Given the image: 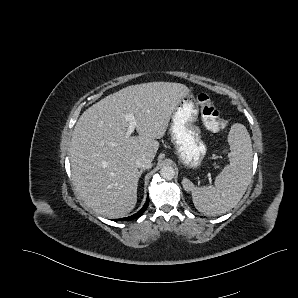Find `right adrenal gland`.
I'll return each instance as SVG.
<instances>
[{
  "label": "right adrenal gland",
  "instance_id": "obj_1",
  "mask_svg": "<svg viewBox=\"0 0 298 298\" xmlns=\"http://www.w3.org/2000/svg\"><path fill=\"white\" fill-rule=\"evenodd\" d=\"M143 171H144V169H141V170H140V172H139V173H140V177H141Z\"/></svg>",
  "mask_w": 298,
  "mask_h": 298
}]
</instances>
